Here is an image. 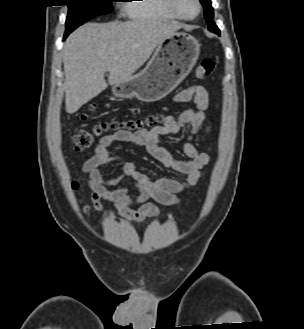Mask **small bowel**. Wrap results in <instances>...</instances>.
Listing matches in <instances>:
<instances>
[{"instance_id": "c3829d8e", "label": "small bowel", "mask_w": 304, "mask_h": 329, "mask_svg": "<svg viewBox=\"0 0 304 329\" xmlns=\"http://www.w3.org/2000/svg\"><path fill=\"white\" fill-rule=\"evenodd\" d=\"M173 101L176 103L193 101L196 109H187L174 118L168 114V107L165 106L162 109L165 117L162 125L149 131L119 130L98 141L94 154L81 167L82 172L89 176L90 199L96 211L104 213L103 201H108L115 205L124 220L140 222L148 218H157L161 215V211L150 203V200L172 208L179 203V192L197 184L202 168L209 162V156L199 151L193 140L200 133L206 138L211 131V123L206 120L205 114L209 107V95L203 86L197 85L180 91L174 96ZM186 126H189V133L183 144V152L187 159H178L161 145V140L164 136L178 135ZM114 143L144 146L162 166L185 175L186 179L183 181L170 177L153 179L133 162L112 155L109 148ZM110 163H118L120 170L117 176L106 178L99 167ZM126 180L133 183L137 189L136 195L129 193ZM109 187L116 188L110 190ZM90 210L89 205L83 206L85 214Z\"/></svg>"}]
</instances>
